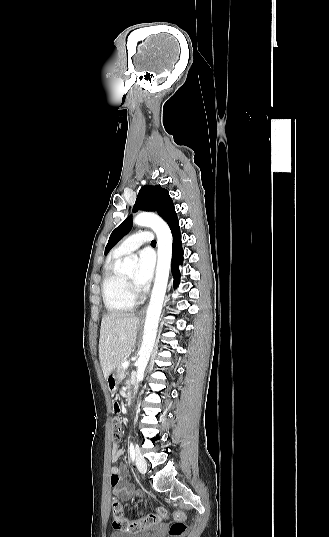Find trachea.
Returning <instances> with one entry per match:
<instances>
[{"mask_svg":"<svg viewBox=\"0 0 329 537\" xmlns=\"http://www.w3.org/2000/svg\"><path fill=\"white\" fill-rule=\"evenodd\" d=\"M151 245H156V242H155V241H152V242H151Z\"/></svg>","mask_w":329,"mask_h":537,"instance_id":"3493384b","label":"trachea"}]
</instances>
